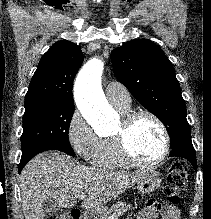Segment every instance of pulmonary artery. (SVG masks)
<instances>
[{"label":"pulmonary artery","instance_id":"obj_1","mask_svg":"<svg viewBox=\"0 0 211 219\" xmlns=\"http://www.w3.org/2000/svg\"><path fill=\"white\" fill-rule=\"evenodd\" d=\"M105 93L108 101L114 107L129 108L131 97L128 90L119 82H109L105 86Z\"/></svg>","mask_w":211,"mask_h":219}]
</instances>
